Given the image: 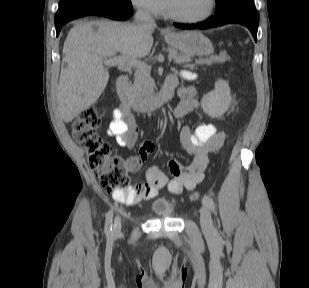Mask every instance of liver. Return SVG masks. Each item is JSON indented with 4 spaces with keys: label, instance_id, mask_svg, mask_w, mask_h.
<instances>
[{
    "label": "liver",
    "instance_id": "6515ba94",
    "mask_svg": "<svg viewBox=\"0 0 309 288\" xmlns=\"http://www.w3.org/2000/svg\"><path fill=\"white\" fill-rule=\"evenodd\" d=\"M154 29L107 20L74 25L64 42L56 95L58 112L66 123L101 96L109 79L104 60L117 53L131 59L145 57L153 45Z\"/></svg>",
    "mask_w": 309,
    "mask_h": 288
}]
</instances>
